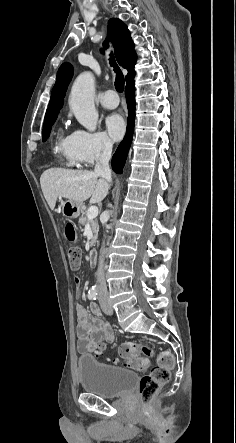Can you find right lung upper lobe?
<instances>
[{
  "instance_id": "1",
  "label": "right lung upper lobe",
  "mask_w": 236,
  "mask_h": 443,
  "mask_svg": "<svg viewBox=\"0 0 236 443\" xmlns=\"http://www.w3.org/2000/svg\"><path fill=\"white\" fill-rule=\"evenodd\" d=\"M108 39L113 43L115 57L120 66L127 69L128 75L134 72L136 53L127 26L119 19L112 18L108 21ZM106 48V43H104ZM73 76V68L69 63L60 66L56 83L53 87L49 107L45 114V121L57 117L63 105V98L68 84Z\"/></svg>"
}]
</instances>
